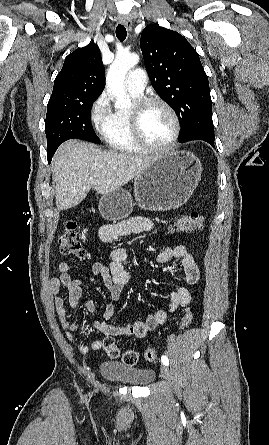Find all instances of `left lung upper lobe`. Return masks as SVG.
I'll use <instances>...</instances> for the list:
<instances>
[{"label":"left lung upper lobe","mask_w":269,"mask_h":445,"mask_svg":"<svg viewBox=\"0 0 269 445\" xmlns=\"http://www.w3.org/2000/svg\"><path fill=\"white\" fill-rule=\"evenodd\" d=\"M140 47L155 91L176 112L179 142L214 138L208 77L196 50L179 33L150 24Z\"/></svg>","instance_id":"left-lung-upper-lobe-1"}]
</instances>
